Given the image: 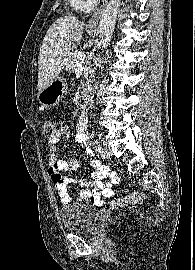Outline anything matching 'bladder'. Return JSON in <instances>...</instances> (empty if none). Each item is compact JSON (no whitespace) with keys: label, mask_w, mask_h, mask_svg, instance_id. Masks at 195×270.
<instances>
[{"label":"bladder","mask_w":195,"mask_h":270,"mask_svg":"<svg viewBox=\"0 0 195 270\" xmlns=\"http://www.w3.org/2000/svg\"><path fill=\"white\" fill-rule=\"evenodd\" d=\"M64 228L73 233H90L96 226L100 213L88 204H70L59 210Z\"/></svg>","instance_id":"bladder-1"}]
</instances>
